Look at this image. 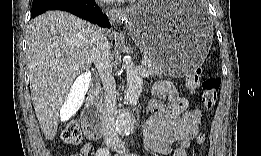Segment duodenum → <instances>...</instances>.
I'll list each match as a JSON object with an SVG mask.
<instances>
[{"instance_id": "410a0bca", "label": "duodenum", "mask_w": 261, "mask_h": 156, "mask_svg": "<svg viewBox=\"0 0 261 156\" xmlns=\"http://www.w3.org/2000/svg\"><path fill=\"white\" fill-rule=\"evenodd\" d=\"M101 115V102L97 92H93L88 99L87 108L83 113L85 125H91Z\"/></svg>"}]
</instances>
